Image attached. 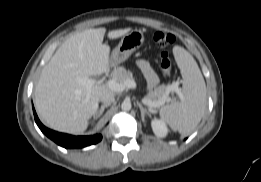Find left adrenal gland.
<instances>
[{
	"mask_svg": "<svg viewBox=\"0 0 261 182\" xmlns=\"http://www.w3.org/2000/svg\"><path fill=\"white\" fill-rule=\"evenodd\" d=\"M138 106L141 110L142 119L144 120V115L145 114L149 115V111L146 108H144L140 102H138Z\"/></svg>",
	"mask_w": 261,
	"mask_h": 182,
	"instance_id": "1",
	"label": "left adrenal gland"
}]
</instances>
